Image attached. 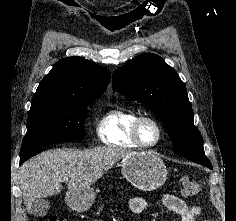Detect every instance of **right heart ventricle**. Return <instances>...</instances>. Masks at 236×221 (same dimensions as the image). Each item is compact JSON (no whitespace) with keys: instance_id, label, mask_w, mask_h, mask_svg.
<instances>
[{"instance_id":"right-heart-ventricle-1","label":"right heart ventricle","mask_w":236,"mask_h":221,"mask_svg":"<svg viewBox=\"0 0 236 221\" xmlns=\"http://www.w3.org/2000/svg\"><path fill=\"white\" fill-rule=\"evenodd\" d=\"M138 116L140 115L137 111L121 106L109 109L96 126L100 141L111 148H138L130 135L132 123Z\"/></svg>"}]
</instances>
